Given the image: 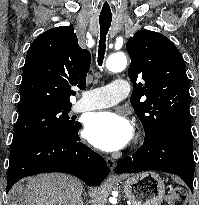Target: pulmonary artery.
<instances>
[{
  "mask_svg": "<svg viewBox=\"0 0 199 205\" xmlns=\"http://www.w3.org/2000/svg\"><path fill=\"white\" fill-rule=\"evenodd\" d=\"M130 88L126 79L117 78L106 86L84 91L72 110L84 112L115 105L129 94Z\"/></svg>",
  "mask_w": 199,
  "mask_h": 205,
  "instance_id": "e3ab8cb5",
  "label": "pulmonary artery"
}]
</instances>
